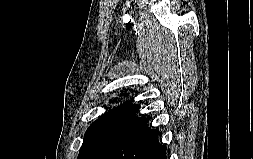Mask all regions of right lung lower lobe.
Returning <instances> with one entry per match:
<instances>
[{"mask_svg": "<svg viewBox=\"0 0 253 159\" xmlns=\"http://www.w3.org/2000/svg\"><path fill=\"white\" fill-rule=\"evenodd\" d=\"M147 123L146 119L93 159H167L166 147L157 141V130L150 129Z\"/></svg>", "mask_w": 253, "mask_h": 159, "instance_id": "obj_1", "label": "right lung lower lobe"}]
</instances>
